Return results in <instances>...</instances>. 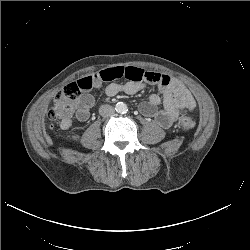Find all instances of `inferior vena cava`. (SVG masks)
Segmentation results:
<instances>
[{
    "instance_id": "602c4592",
    "label": "inferior vena cava",
    "mask_w": 250,
    "mask_h": 250,
    "mask_svg": "<svg viewBox=\"0 0 250 250\" xmlns=\"http://www.w3.org/2000/svg\"><path fill=\"white\" fill-rule=\"evenodd\" d=\"M114 112H115L114 108L112 106L108 105V104L102 105L99 108V114L102 117L112 116L114 114Z\"/></svg>"
}]
</instances>
